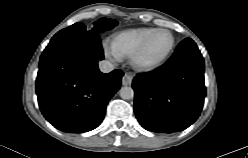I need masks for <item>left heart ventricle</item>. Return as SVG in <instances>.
Segmentation results:
<instances>
[{"mask_svg":"<svg viewBox=\"0 0 248 158\" xmlns=\"http://www.w3.org/2000/svg\"><path fill=\"white\" fill-rule=\"evenodd\" d=\"M171 43L170 35L164 32L157 33L151 39L142 57L143 62H153L161 58Z\"/></svg>","mask_w":248,"mask_h":158,"instance_id":"obj_1","label":"left heart ventricle"}]
</instances>
